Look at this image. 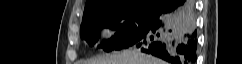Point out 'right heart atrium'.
Segmentation results:
<instances>
[{"mask_svg": "<svg viewBox=\"0 0 242 64\" xmlns=\"http://www.w3.org/2000/svg\"><path fill=\"white\" fill-rule=\"evenodd\" d=\"M107 32L109 36L114 37L117 33V28L112 23H109L107 25Z\"/></svg>", "mask_w": 242, "mask_h": 64, "instance_id": "obj_1", "label": "right heart atrium"}]
</instances>
